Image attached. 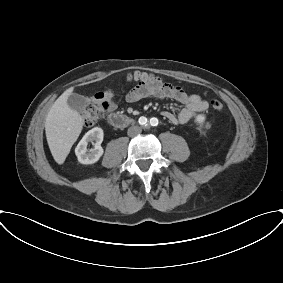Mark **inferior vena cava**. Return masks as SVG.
I'll use <instances>...</instances> for the list:
<instances>
[{
	"label": "inferior vena cava",
	"mask_w": 283,
	"mask_h": 283,
	"mask_svg": "<svg viewBox=\"0 0 283 283\" xmlns=\"http://www.w3.org/2000/svg\"><path fill=\"white\" fill-rule=\"evenodd\" d=\"M141 132V128L139 126H131L128 128L127 134L130 137L136 136Z\"/></svg>",
	"instance_id": "1"
}]
</instances>
